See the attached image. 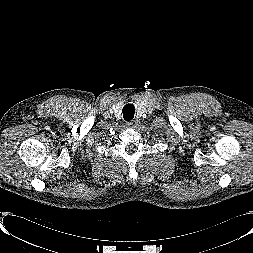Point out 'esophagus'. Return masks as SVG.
I'll use <instances>...</instances> for the list:
<instances>
[{"instance_id":"esophagus-1","label":"esophagus","mask_w":253,"mask_h":253,"mask_svg":"<svg viewBox=\"0 0 253 253\" xmlns=\"http://www.w3.org/2000/svg\"><path fill=\"white\" fill-rule=\"evenodd\" d=\"M127 126L130 128H137L138 127V120L133 119L127 123Z\"/></svg>"}]
</instances>
